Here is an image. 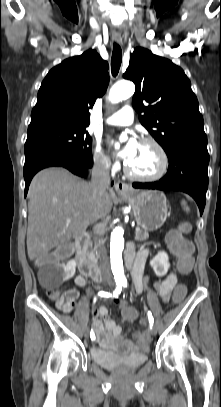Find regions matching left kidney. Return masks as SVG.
Instances as JSON below:
<instances>
[{"label":"left kidney","mask_w":221,"mask_h":407,"mask_svg":"<svg viewBox=\"0 0 221 407\" xmlns=\"http://www.w3.org/2000/svg\"><path fill=\"white\" fill-rule=\"evenodd\" d=\"M150 265L153 268L156 276H165L170 268L169 257L167 253L164 251L158 252V254L150 260Z\"/></svg>","instance_id":"1"}]
</instances>
